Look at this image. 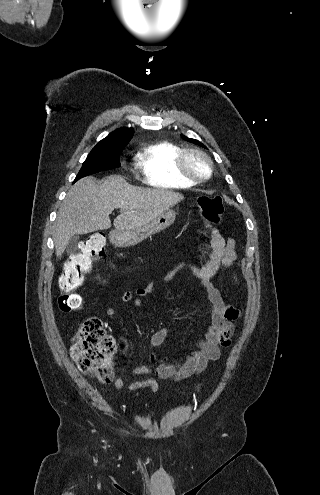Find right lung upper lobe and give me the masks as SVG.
<instances>
[{
	"instance_id": "right-lung-upper-lobe-1",
	"label": "right lung upper lobe",
	"mask_w": 320,
	"mask_h": 495,
	"mask_svg": "<svg viewBox=\"0 0 320 495\" xmlns=\"http://www.w3.org/2000/svg\"><path fill=\"white\" fill-rule=\"evenodd\" d=\"M133 136L132 128H120L110 133L95 147H125Z\"/></svg>"
}]
</instances>
